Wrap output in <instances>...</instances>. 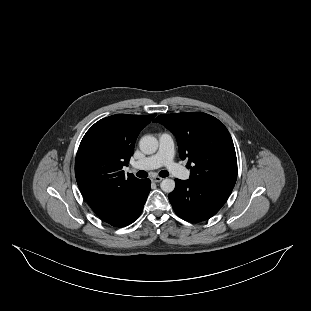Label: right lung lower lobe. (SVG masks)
Here are the masks:
<instances>
[{"mask_svg": "<svg viewBox=\"0 0 311 311\" xmlns=\"http://www.w3.org/2000/svg\"><path fill=\"white\" fill-rule=\"evenodd\" d=\"M150 190V180H140L120 200L113 202L97 215L115 227L129 225L140 216Z\"/></svg>", "mask_w": 311, "mask_h": 311, "instance_id": "right-lung-lower-lobe-1", "label": "right lung lower lobe"}]
</instances>
